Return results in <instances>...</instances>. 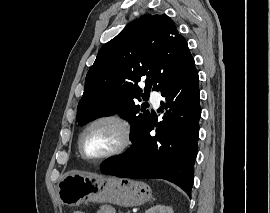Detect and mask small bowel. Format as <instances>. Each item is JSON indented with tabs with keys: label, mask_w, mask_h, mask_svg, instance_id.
<instances>
[{
	"label": "small bowel",
	"mask_w": 270,
	"mask_h": 213,
	"mask_svg": "<svg viewBox=\"0 0 270 213\" xmlns=\"http://www.w3.org/2000/svg\"><path fill=\"white\" fill-rule=\"evenodd\" d=\"M96 213H115V211L110 206H102Z\"/></svg>",
	"instance_id": "c3829d8e"
}]
</instances>
